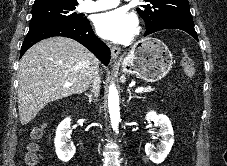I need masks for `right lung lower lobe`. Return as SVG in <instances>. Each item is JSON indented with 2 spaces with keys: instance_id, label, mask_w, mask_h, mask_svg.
<instances>
[{
  "instance_id": "right-lung-lower-lobe-1",
  "label": "right lung lower lobe",
  "mask_w": 227,
  "mask_h": 166,
  "mask_svg": "<svg viewBox=\"0 0 227 166\" xmlns=\"http://www.w3.org/2000/svg\"><path fill=\"white\" fill-rule=\"evenodd\" d=\"M54 36L72 38L90 50L104 65L109 64L110 50L107 45L95 36L90 22H50L30 28L21 47L20 57L37 42Z\"/></svg>"
}]
</instances>
